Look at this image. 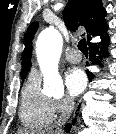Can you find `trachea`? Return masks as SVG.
Returning <instances> with one entry per match:
<instances>
[{"label":"trachea","mask_w":116,"mask_h":134,"mask_svg":"<svg viewBox=\"0 0 116 134\" xmlns=\"http://www.w3.org/2000/svg\"><path fill=\"white\" fill-rule=\"evenodd\" d=\"M78 49L84 54L87 55L88 53V48H87V42L86 39L83 38L79 41L78 43Z\"/></svg>","instance_id":"obj_1"}]
</instances>
